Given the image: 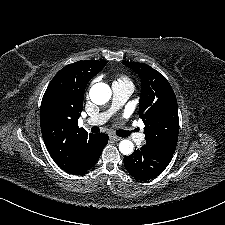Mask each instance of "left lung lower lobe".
<instances>
[{
    "instance_id": "left-lung-lower-lobe-1",
    "label": "left lung lower lobe",
    "mask_w": 225,
    "mask_h": 225,
    "mask_svg": "<svg viewBox=\"0 0 225 225\" xmlns=\"http://www.w3.org/2000/svg\"><path fill=\"white\" fill-rule=\"evenodd\" d=\"M173 153L157 150L144 145L130 156L124 157L126 170L141 181L157 177L168 166Z\"/></svg>"
}]
</instances>
